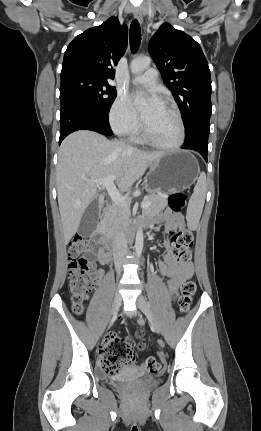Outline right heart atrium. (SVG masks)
Wrapping results in <instances>:
<instances>
[{"instance_id":"1","label":"right heart atrium","mask_w":261,"mask_h":431,"mask_svg":"<svg viewBox=\"0 0 261 431\" xmlns=\"http://www.w3.org/2000/svg\"><path fill=\"white\" fill-rule=\"evenodd\" d=\"M109 122L118 134H133L138 130V118L124 95L115 98L109 112Z\"/></svg>"}]
</instances>
